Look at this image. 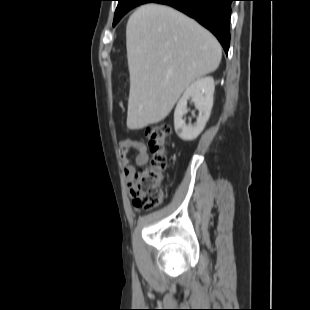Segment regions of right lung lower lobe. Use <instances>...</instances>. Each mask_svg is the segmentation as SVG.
<instances>
[{
    "label": "right lung lower lobe",
    "mask_w": 310,
    "mask_h": 310,
    "mask_svg": "<svg viewBox=\"0 0 310 310\" xmlns=\"http://www.w3.org/2000/svg\"><path fill=\"white\" fill-rule=\"evenodd\" d=\"M234 0H152L169 5L197 20L219 40L225 52L230 46L231 2Z\"/></svg>",
    "instance_id": "obj_1"
}]
</instances>
